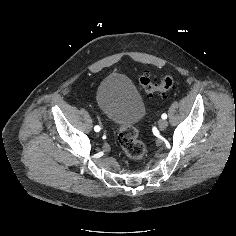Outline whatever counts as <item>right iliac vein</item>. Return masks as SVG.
<instances>
[{
    "mask_svg": "<svg viewBox=\"0 0 236 236\" xmlns=\"http://www.w3.org/2000/svg\"><path fill=\"white\" fill-rule=\"evenodd\" d=\"M95 120H96V122L99 123V125H101L102 127L104 126V125L100 122V120H99V113L96 114ZM101 132H102V133L104 132V129H103V128L101 129Z\"/></svg>",
    "mask_w": 236,
    "mask_h": 236,
    "instance_id": "obj_1",
    "label": "right iliac vein"
}]
</instances>
